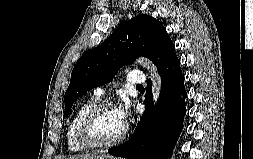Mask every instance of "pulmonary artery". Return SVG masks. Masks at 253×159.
<instances>
[{
    "label": "pulmonary artery",
    "instance_id": "obj_1",
    "mask_svg": "<svg viewBox=\"0 0 253 159\" xmlns=\"http://www.w3.org/2000/svg\"><path fill=\"white\" fill-rule=\"evenodd\" d=\"M145 74L143 71H131L127 77V83L134 86H139L145 83ZM94 94L102 97L105 94V89L98 87L94 90Z\"/></svg>",
    "mask_w": 253,
    "mask_h": 159
}]
</instances>
